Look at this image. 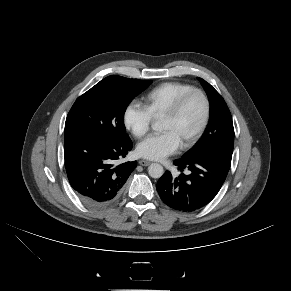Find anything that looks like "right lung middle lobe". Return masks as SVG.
I'll return each instance as SVG.
<instances>
[{
	"label": "right lung middle lobe",
	"mask_w": 291,
	"mask_h": 291,
	"mask_svg": "<svg viewBox=\"0 0 291 291\" xmlns=\"http://www.w3.org/2000/svg\"><path fill=\"white\" fill-rule=\"evenodd\" d=\"M151 83L116 75L104 78L75 101L65 122V138L78 134L128 137L125 110Z\"/></svg>",
	"instance_id": "1"
}]
</instances>
